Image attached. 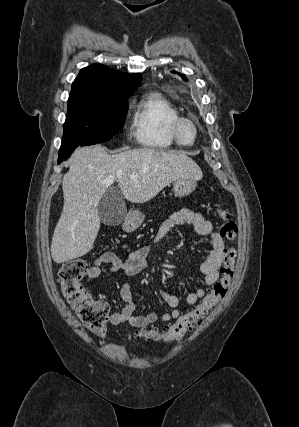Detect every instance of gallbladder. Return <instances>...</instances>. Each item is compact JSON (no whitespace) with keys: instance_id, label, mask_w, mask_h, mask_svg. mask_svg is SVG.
I'll return each instance as SVG.
<instances>
[{"instance_id":"obj_1","label":"gallbladder","mask_w":299,"mask_h":427,"mask_svg":"<svg viewBox=\"0 0 299 427\" xmlns=\"http://www.w3.org/2000/svg\"><path fill=\"white\" fill-rule=\"evenodd\" d=\"M97 212L103 224L116 226L121 224L127 213L121 193L117 189H109L100 199Z\"/></svg>"}]
</instances>
